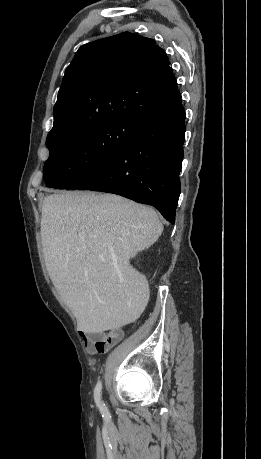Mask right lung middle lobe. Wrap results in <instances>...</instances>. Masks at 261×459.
I'll use <instances>...</instances> for the list:
<instances>
[{"mask_svg": "<svg viewBox=\"0 0 261 459\" xmlns=\"http://www.w3.org/2000/svg\"><path fill=\"white\" fill-rule=\"evenodd\" d=\"M142 126L133 120H115L75 134L48 135L46 186L73 187L122 151Z\"/></svg>", "mask_w": 261, "mask_h": 459, "instance_id": "right-lung-middle-lobe-1", "label": "right lung middle lobe"}]
</instances>
